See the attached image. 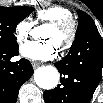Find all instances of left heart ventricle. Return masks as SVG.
<instances>
[{
    "instance_id": "b2bd125f",
    "label": "left heart ventricle",
    "mask_w": 103,
    "mask_h": 103,
    "mask_svg": "<svg viewBox=\"0 0 103 103\" xmlns=\"http://www.w3.org/2000/svg\"><path fill=\"white\" fill-rule=\"evenodd\" d=\"M66 36H67L66 31L58 30L52 26H48L42 34V37L44 39L53 40L57 45V47L64 42Z\"/></svg>"
}]
</instances>
